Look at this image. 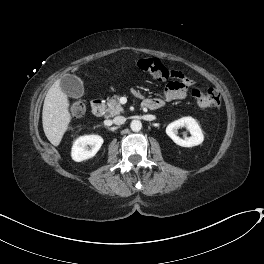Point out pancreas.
<instances>
[{
    "instance_id": "obj_1",
    "label": "pancreas",
    "mask_w": 264,
    "mask_h": 264,
    "mask_svg": "<svg viewBox=\"0 0 264 264\" xmlns=\"http://www.w3.org/2000/svg\"><path fill=\"white\" fill-rule=\"evenodd\" d=\"M119 96H114L110 99H108V102H107V116L109 117H113V116H116V115H119L121 113H123V107L120 105L119 103Z\"/></svg>"
}]
</instances>
